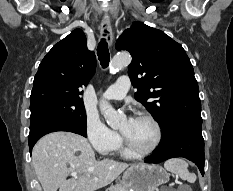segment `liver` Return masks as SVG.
Returning <instances> with one entry per match:
<instances>
[{
	"label": "liver",
	"instance_id": "6515ba94",
	"mask_svg": "<svg viewBox=\"0 0 233 191\" xmlns=\"http://www.w3.org/2000/svg\"><path fill=\"white\" fill-rule=\"evenodd\" d=\"M32 164L43 191H96L111 184L129 165L95 159L88 140L58 131L42 137L32 151ZM71 173H77L67 180Z\"/></svg>",
	"mask_w": 233,
	"mask_h": 191
}]
</instances>
